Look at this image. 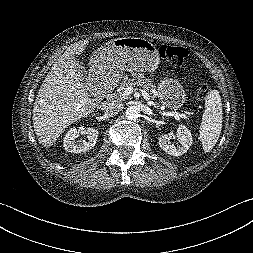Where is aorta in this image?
I'll list each match as a JSON object with an SVG mask.
<instances>
[{
    "label": "aorta",
    "instance_id": "obj_1",
    "mask_svg": "<svg viewBox=\"0 0 253 253\" xmlns=\"http://www.w3.org/2000/svg\"><path fill=\"white\" fill-rule=\"evenodd\" d=\"M128 120H136L140 117V110L135 106L128 107L125 111Z\"/></svg>",
    "mask_w": 253,
    "mask_h": 253
}]
</instances>
